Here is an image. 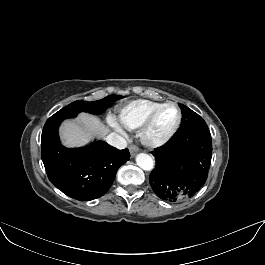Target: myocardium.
Returning a JSON list of instances; mask_svg holds the SVG:
<instances>
[{"instance_id": "f54148a6", "label": "myocardium", "mask_w": 265, "mask_h": 265, "mask_svg": "<svg viewBox=\"0 0 265 265\" xmlns=\"http://www.w3.org/2000/svg\"><path fill=\"white\" fill-rule=\"evenodd\" d=\"M166 106H172L177 111V119L174 123V125L170 128L169 131H167L163 136L153 139L149 136V130L151 128V125L157 115V113ZM182 120V112L179 108V106L174 102H163L157 105L155 108H153L145 117L144 121L142 122L141 126L138 129V135L140 138V141L147 147L150 148H157L160 146H163L166 144L177 132Z\"/></svg>"}]
</instances>
